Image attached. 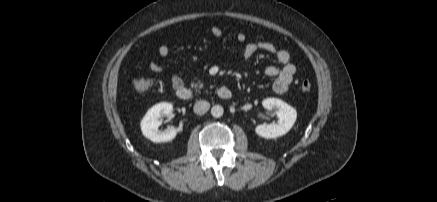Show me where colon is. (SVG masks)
I'll use <instances>...</instances> for the list:
<instances>
[{
  "mask_svg": "<svg viewBox=\"0 0 437 202\" xmlns=\"http://www.w3.org/2000/svg\"><path fill=\"white\" fill-rule=\"evenodd\" d=\"M133 88L138 94L147 93L152 87V80L147 77H136L132 81ZM312 88V84L309 80H303L300 83V89L303 92H309Z\"/></svg>",
  "mask_w": 437,
  "mask_h": 202,
  "instance_id": "1",
  "label": "colon"
}]
</instances>
